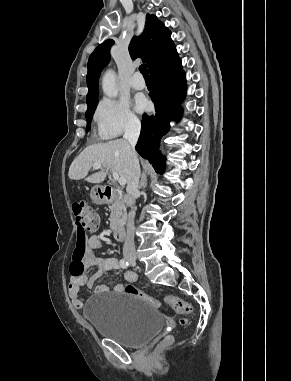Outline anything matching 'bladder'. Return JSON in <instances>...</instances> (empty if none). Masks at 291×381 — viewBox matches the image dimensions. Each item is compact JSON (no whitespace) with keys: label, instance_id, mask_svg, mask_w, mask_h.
I'll use <instances>...</instances> for the list:
<instances>
[{"label":"bladder","instance_id":"obj_1","mask_svg":"<svg viewBox=\"0 0 291 381\" xmlns=\"http://www.w3.org/2000/svg\"><path fill=\"white\" fill-rule=\"evenodd\" d=\"M83 315L98 335L125 347H139L165 325L164 317L143 299L124 292L90 297Z\"/></svg>","mask_w":291,"mask_h":381}]
</instances>
